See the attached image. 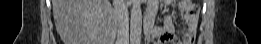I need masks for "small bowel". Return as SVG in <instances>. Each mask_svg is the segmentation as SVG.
Here are the masks:
<instances>
[{
    "instance_id": "c3829d8e",
    "label": "small bowel",
    "mask_w": 261,
    "mask_h": 44,
    "mask_svg": "<svg viewBox=\"0 0 261 44\" xmlns=\"http://www.w3.org/2000/svg\"><path fill=\"white\" fill-rule=\"evenodd\" d=\"M166 5H170L172 1H165ZM158 2L152 1L147 7V16L153 20L151 33L147 36V43L150 44H164L168 42L193 44L196 38L197 25H198V10L195 5L181 6V14L186 21V26L183 29L182 41L176 39L177 30L174 25L173 17L171 14H166L162 26H156L154 19L157 13Z\"/></svg>"
}]
</instances>
